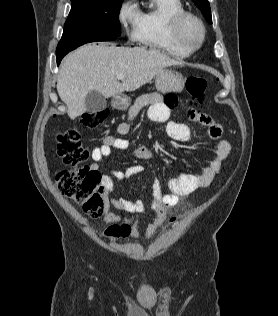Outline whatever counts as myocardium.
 <instances>
[{
    "label": "myocardium",
    "mask_w": 278,
    "mask_h": 316,
    "mask_svg": "<svg viewBox=\"0 0 278 316\" xmlns=\"http://www.w3.org/2000/svg\"><path fill=\"white\" fill-rule=\"evenodd\" d=\"M191 26L197 29L196 38L190 34ZM173 30L179 42L191 51L198 49L206 38V28L203 21L188 11H183L174 17Z\"/></svg>",
    "instance_id": "f54148a6"
}]
</instances>
